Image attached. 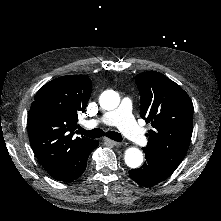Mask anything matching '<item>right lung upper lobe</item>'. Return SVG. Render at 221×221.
Instances as JSON below:
<instances>
[{
    "label": "right lung upper lobe",
    "mask_w": 221,
    "mask_h": 221,
    "mask_svg": "<svg viewBox=\"0 0 221 221\" xmlns=\"http://www.w3.org/2000/svg\"><path fill=\"white\" fill-rule=\"evenodd\" d=\"M91 90L86 75L62 76L45 84L34 98L28 114L29 140L52 177L62 174L94 142L73 137L78 114L84 112Z\"/></svg>",
    "instance_id": "obj_1"
}]
</instances>
